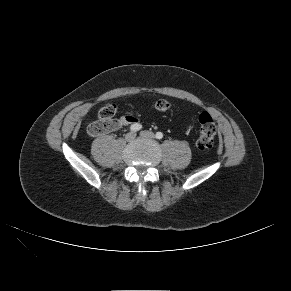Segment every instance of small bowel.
<instances>
[{
    "label": "small bowel",
    "instance_id": "small-bowel-1",
    "mask_svg": "<svg viewBox=\"0 0 291 291\" xmlns=\"http://www.w3.org/2000/svg\"><path fill=\"white\" fill-rule=\"evenodd\" d=\"M138 121H139V119L137 118V116H135L133 114H126V115H123L119 118H115L112 121V125H113L112 131L119 130L125 126L130 125V124L132 125V124L138 123Z\"/></svg>",
    "mask_w": 291,
    "mask_h": 291
}]
</instances>
